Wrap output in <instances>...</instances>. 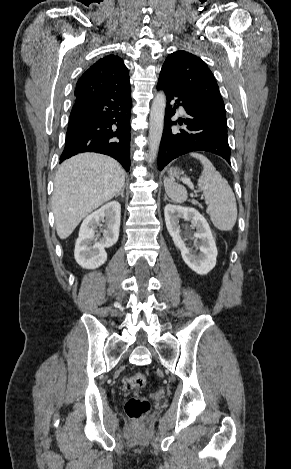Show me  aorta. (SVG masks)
<instances>
[{"instance_id": "762f6f07", "label": "aorta", "mask_w": 291, "mask_h": 469, "mask_svg": "<svg viewBox=\"0 0 291 469\" xmlns=\"http://www.w3.org/2000/svg\"><path fill=\"white\" fill-rule=\"evenodd\" d=\"M166 96L158 92L153 100L149 118V162L156 159L164 127Z\"/></svg>"}]
</instances>
